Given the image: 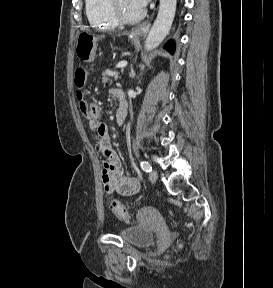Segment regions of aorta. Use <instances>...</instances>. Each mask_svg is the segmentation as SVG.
<instances>
[{"instance_id":"762f6f07","label":"aorta","mask_w":273,"mask_h":288,"mask_svg":"<svg viewBox=\"0 0 273 288\" xmlns=\"http://www.w3.org/2000/svg\"><path fill=\"white\" fill-rule=\"evenodd\" d=\"M177 0H160L157 18L145 40L144 49H155L168 35L172 26Z\"/></svg>"}]
</instances>
